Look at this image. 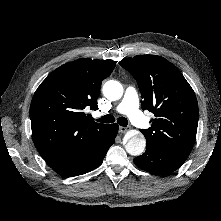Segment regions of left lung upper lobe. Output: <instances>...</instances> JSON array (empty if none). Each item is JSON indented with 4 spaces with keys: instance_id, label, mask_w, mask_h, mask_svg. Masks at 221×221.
Returning <instances> with one entry per match:
<instances>
[{
    "instance_id": "1",
    "label": "left lung upper lobe",
    "mask_w": 221,
    "mask_h": 221,
    "mask_svg": "<svg viewBox=\"0 0 221 221\" xmlns=\"http://www.w3.org/2000/svg\"><path fill=\"white\" fill-rule=\"evenodd\" d=\"M119 64L136 79L142 109L154 113L148 129H141L146 148L187 158L194 146L198 125L195 93L179 69L163 57L141 55Z\"/></svg>"
}]
</instances>
